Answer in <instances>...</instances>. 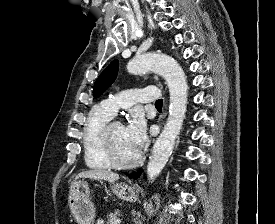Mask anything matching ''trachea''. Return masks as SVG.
<instances>
[{"mask_svg": "<svg viewBox=\"0 0 275 224\" xmlns=\"http://www.w3.org/2000/svg\"><path fill=\"white\" fill-rule=\"evenodd\" d=\"M162 104H163V100L162 99H159L155 102V106L156 107H162Z\"/></svg>", "mask_w": 275, "mask_h": 224, "instance_id": "trachea-1", "label": "trachea"}]
</instances>
